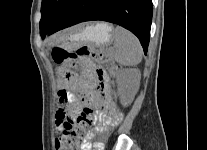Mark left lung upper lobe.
Listing matches in <instances>:
<instances>
[{"instance_id": "5c2ea615", "label": "left lung upper lobe", "mask_w": 207, "mask_h": 150, "mask_svg": "<svg viewBox=\"0 0 207 150\" xmlns=\"http://www.w3.org/2000/svg\"><path fill=\"white\" fill-rule=\"evenodd\" d=\"M75 0H42L40 34L48 32Z\"/></svg>"}]
</instances>
